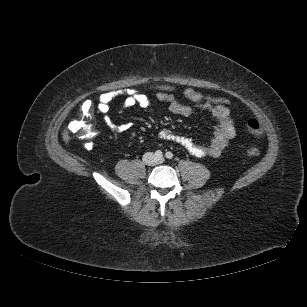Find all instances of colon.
<instances>
[{"mask_svg": "<svg viewBox=\"0 0 307 307\" xmlns=\"http://www.w3.org/2000/svg\"><path fill=\"white\" fill-rule=\"evenodd\" d=\"M203 100L212 105H224L229 104V100L225 97H203ZM94 104L92 101H86L80 110L79 117L71 122L70 130L77 133L81 138L85 140V146L87 148L93 147V140L97 135L96 128L93 124ZM247 127L251 133L260 137L263 134V128L257 119L251 118L247 122ZM246 154L250 157H256L260 155V150L257 147L250 146L246 149Z\"/></svg>", "mask_w": 307, "mask_h": 307, "instance_id": "5ec220e1", "label": "colon"}]
</instances>
